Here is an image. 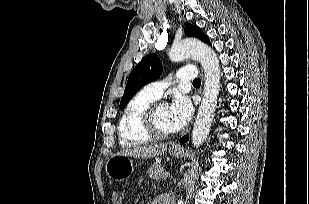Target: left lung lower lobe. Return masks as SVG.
Wrapping results in <instances>:
<instances>
[{
	"instance_id": "left-lung-lower-lobe-1",
	"label": "left lung lower lobe",
	"mask_w": 309,
	"mask_h": 204,
	"mask_svg": "<svg viewBox=\"0 0 309 204\" xmlns=\"http://www.w3.org/2000/svg\"><path fill=\"white\" fill-rule=\"evenodd\" d=\"M188 139H189V136L186 135V136H184V137H182V138L180 139V142H181V143H185V142L188 141Z\"/></svg>"
}]
</instances>
